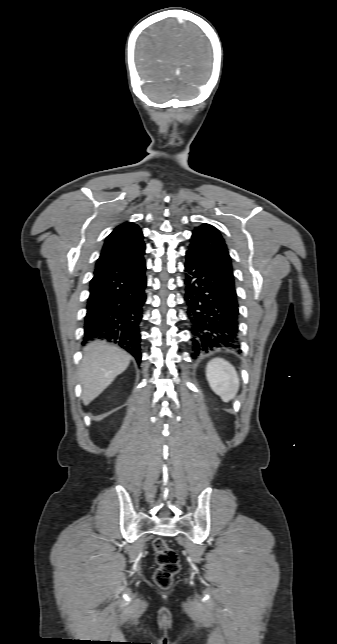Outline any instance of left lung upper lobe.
I'll return each instance as SVG.
<instances>
[{
	"label": "left lung upper lobe",
	"instance_id": "obj_1",
	"mask_svg": "<svg viewBox=\"0 0 337 644\" xmlns=\"http://www.w3.org/2000/svg\"><path fill=\"white\" fill-rule=\"evenodd\" d=\"M187 252L212 264L235 286L231 259L220 232L210 224L195 228Z\"/></svg>",
	"mask_w": 337,
	"mask_h": 644
}]
</instances>
